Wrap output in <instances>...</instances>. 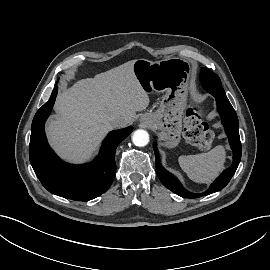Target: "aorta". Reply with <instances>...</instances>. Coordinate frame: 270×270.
I'll use <instances>...</instances> for the list:
<instances>
[{
    "instance_id": "aorta-1",
    "label": "aorta",
    "mask_w": 270,
    "mask_h": 270,
    "mask_svg": "<svg viewBox=\"0 0 270 270\" xmlns=\"http://www.w3.org/2000/svg\"><path fill=\"white\" fill-rule=\"evenodd\" d=\"M132 141L138 147L146 146L149 143V134L146 130L138 129L133 133Z\"/></svg>"
}]
</instances>
